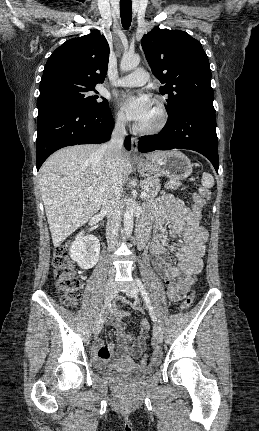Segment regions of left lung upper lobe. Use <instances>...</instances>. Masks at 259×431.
Listing matches in <instances>:
<instances>
[{"mask_svg":"<svg viewBox=\"0 0 259 431\" xmlns=\"http://www.w3.org/2000/svg\"><path fill=\"white\" fill-rule=\"evenodd\" d=\"M146 59L166 95L168 115L187 107L215 112L211 70L199 41L179 30L155 27L141 41Z\"/></svg>","mask_w":259,"mask_h":431,"instance_id":"left-lung-upper-lobe-1","label":"left lung upper lobe"}]
</instances>
